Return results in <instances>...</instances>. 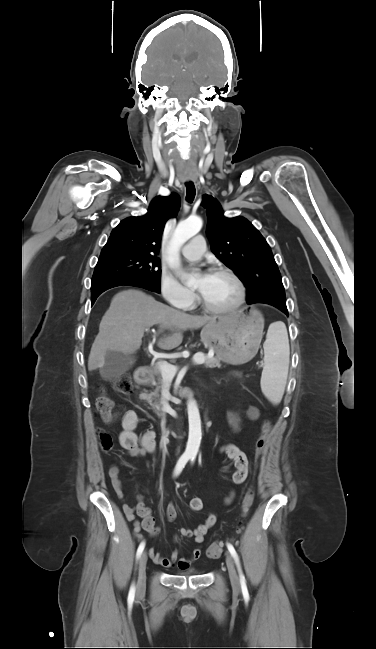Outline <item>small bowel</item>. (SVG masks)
<instances>
[{
  "mask_svg": "<svg viewBox=\"0 0 376 649\" xmlns=\"http://www.w3.org/2000/svg\"><path fill=\"white\" fill-rule=\"evenodd\" d=\"M139 421L140 419L136 411H126L122 418V430L118 437L120 446L124 448L132 457H142L147 454H152L156 451L155 433L153 431H146L143 435L140 436L137 433ZM222 451H224L228 455V457L234 460L235 471L232 474L233 482L235 484L243 483L248 475V460L246 455L233 445L222 447ZM108 475L115 495L120 500H123L124 488L119 478V468L117 466H111L108 470ZM136 500L137 503L133 507L126 503L122 504V510L126 519L130 522H133L134 533L139 540L142 539V536L140 534L141 529L148 532L151 536H156L159 533V528L155 526V521L151 515V510L144 504L143 495L138 494L136 496ZM189 507L192 511H200L203 508V503L200 499L194 498L190 501ZM165 512L166 517L169 521H174L176 519L177 511L173 503H169L167 505ZM137 516L141 518V521L137 520ZM216 522L217 515L210 513L207 515L205 521L194 529L185 527L179 529L181 536L186 538H193L195 544L197 545V547L193 549L189 555L180 557L179 553L175 551L171 554L170 557H163L156 549L151 548L149 550L150 558L155 564L166 568H172L175 566H177L179 569L189 568L195 561L200 558V545L203 543L207 531L211 527H213Z\"/></svg>",
  "mask_w": 376,
  "mask_h": 649,
  "instance_id": "c3829d8e",
  "label": "small bowel"
}]
</instances>
